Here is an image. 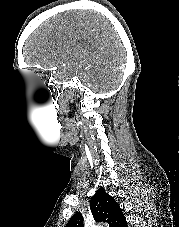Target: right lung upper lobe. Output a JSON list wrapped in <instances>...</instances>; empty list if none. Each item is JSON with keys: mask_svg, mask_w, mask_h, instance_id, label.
Listing matches in <instances>:
<instances>
[{"mask_svg": "<svg viewBox=\"0 0 179 227\" xmlns=\"http://www.w3.org/2000/svg\"><path fill=\"white\" fill-rule=\"evenodd\" d=\"M90 209L96 222H107L109 227H127L125 216L114 200L104 188H99L90 200ZM66 227H84L83 217L77 212L66 224Z\"/></svg>", "mask_w": 179, "mask_h": 227, "instance_id": "right-lung-upper-lobe-1", "label": "right lung upper lobe"}]
</instances>
